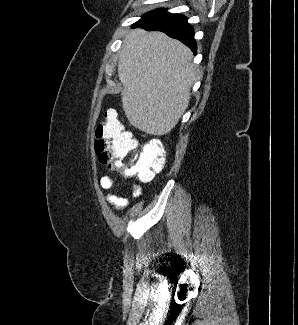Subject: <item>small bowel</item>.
I'll return each instance as SVG.
<instances>
[{
  "mask_svg": "<svg viewBox=\"0 0 298 325\" xmlns=\"http://www.w3.org/2000/svg\"><path fill=\"white\" fill-rule=\"evenodd\" d=\"M115 185V180L109 175H103L100 178V186L103 189H111ZM130 194L134 198H138L142 195V187L140 185H133L130 188ZM107 201L112 205V207L116 210L123 209L128 206V200L125 196L116 194V193H110L107 195Z\"/></svg>",
  "mask_w": 298,
  "mask_h": 325,
  "instance_id": "obj_1",
  "label": "small bowel"
}]
</instances>
